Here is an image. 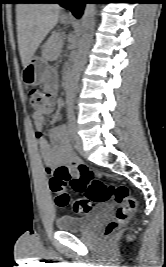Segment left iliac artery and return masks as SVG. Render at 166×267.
Returning <instances> with one entry per match:
<instances>
[{
  "label": "left iliac artery",
  "instance_id": "left-iliac-artery-1",
  "mask_svg": "<svg viewBox=\"0 0 166 267\" xmlns=\"http://www.w3.org/2000/svg\"><path fill=\"white\" fill-rule=\"evenodd\" d=\"M68 127H69V132L72 137H74L75 134V116L73 112H70L68 115Z\"/></svg>",
  "mask_w": 166,
  "mask_h": 267
}]
</instances>
